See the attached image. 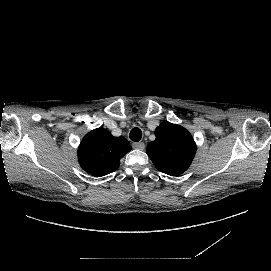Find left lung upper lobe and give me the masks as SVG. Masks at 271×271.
Listing matches in <instances>:
<instances>
[{
    "label": "left lung upper lobe",
    "instance_id": "5c2ea615",
    "mask_svg": "<svg viewBox=\"0 0 271 271\" xmlns=\"http://www.w3.org/2000/svg\"><path fill=\"white\" fill-rule=\"evenodd\" d=\"M155 135L146 153L157 170L173 176L186 171L196 153L192 135L182 126L167 121L156 128Z\"/></svg>",
    "mask_w": 271,
    "mask_h": 271
}]
</instances>
